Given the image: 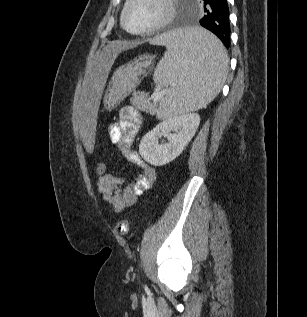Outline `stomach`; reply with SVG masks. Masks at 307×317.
<instances>
[{"label": "stomach", "mask_w": 307, "mask_h": 317, "mask_svg": "<svg viewBox=\"0 0 307 317\" xmlns=\"http://www.w3.org/2000/svg\"><path fill=\"white\" fill-rule=\"evenodd\" d=\"M154 57L144 54L116 69L104 96L106 109L114 108L140 82L142 76L153 64Z\"/></svg>", "instance_id": "obj_1"}]
</instances>
